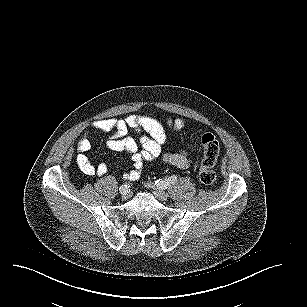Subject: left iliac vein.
<instances>
[{
  "mask_svg": "<svg viewBox=\"0 0 307 307\" xmlns=\"http://www.w3.org/2000/svg\"><path fill=\"white\" fill-rule=\"evenodd\" d=\"M153 188V191H154V194L155 196L160 199L161 201H166L168 198H169V195L164 192L163 190L157 188V187H152Z\"/></svg>",
  "mask_w": 307,
  "mask_h": 307,
  "instance_id": "obj_1",
  "label": "left iliac vein"
}]
</instances>
